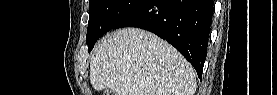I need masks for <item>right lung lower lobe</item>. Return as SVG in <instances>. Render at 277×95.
I'll list each match as a JSON object with an SVG mask.
<instances>
[{
    "label": "right lung lower lobe",
    "instance_id": "obj_1",
    "mask_svg": "<svg viewBox=\"0 0 277 95\" xmlns=\"http://www.w3.org/2000/svg\"><path fill=\"white\" fill-rule=\"evenodd\" d=\"M213 0H144L115 28L138 27L153 32L174 46L201 78Z\"/></svg>",
    "mask_w": 277,
    "mask_h": 95
}]
</instances>
